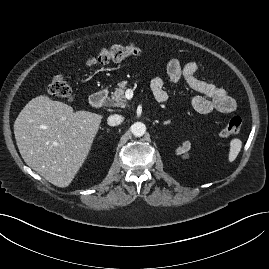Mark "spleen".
Segmentation results:
<instances>
[{"label":"spleen","instance_id":"1","mask_svg":"<svg viewBox=\"0 0 269 269\" xmlns=\"http://www.w3.org/2000/svg\"><path fill=\"white\" fill-rule=\"evenodd\" d=\"M241 147H242V141L240 139L234 138L231 140L230 151L228 156L229 162H233L236 159L241 150Z\"/></svg>","mask_w":269,"mask_h":269}]
</instances>
